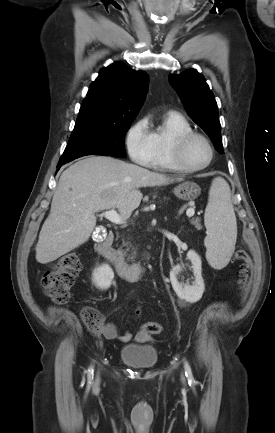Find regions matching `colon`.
I'll return each mask as SVG.
<instances>
[{
  "instance_id": "colon-1",
  "label": "colon",
  "mask_w": 275,
  "mask_h": 433,
  "mask_svg": "<svg viewBox=\"0 0 275 433\" xmlns=\"http://www.w3.org/2000/svg\"><path fill=\"white\" fill-rule=\"evenodd\" d=\"M235 258L241 265L238 288L239 295L243 299L250 291L253 266L249 254L245 250H238L235 253ZM81 268V258L78 251H70L62 255L42 277L45 294L58 304H66ZM82 317L90 332H98L103 319L94 307L86 306L82 311ZM141 331L147 334H158L162 331V325L158 322H146L142 325Z\"/></svg>"
}]
</instances>
